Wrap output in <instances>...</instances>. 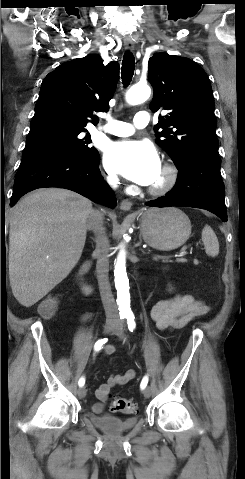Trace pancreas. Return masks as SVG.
<instances>
[{
  "label": "pancreas",
  "mask_w": 245,
  "mask_h": 479,
  "mask_svg": "<svg viewBox=\"0 0 245 479\" xmlns=\"http://www.w3.org/2000/svg\"><path fill=\"white\" fill-rule=\"evenodd\" d=\"M176 261H177L178 263H185V262H187V259H185V258H179V259H177ZM165 262H168V260H165Z\"/></svg>",
  "instance_id": "cf45deb5"
}]
</instances>
